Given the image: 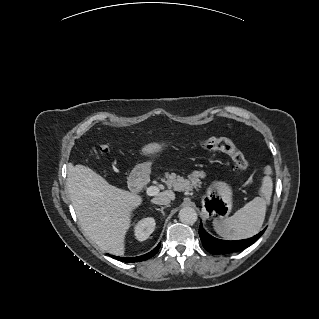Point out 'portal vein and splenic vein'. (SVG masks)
Segmentation results:
<instances>
[{
  "label": "portal vein and splenic vein",
  "mask_w": 319,
  "mask_h": 319,
  "mask_svg": "<svg viewBox=\"0 0 319 319\" xmlns=\"http://www.w3.org/2000/svg\"><path fill=\"white\" fill-rule=\"evenodd\" d=\"M147 193L149 196H155L159 193V188L157 186H150Z\"/></svg>",
  "instance_id": "obj_1"
}]
</instances>
